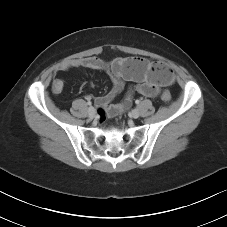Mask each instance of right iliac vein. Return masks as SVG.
<instances>
[{"mask_svg":"<svg viewBox=\"0 0 227 227\" xmlns=\"http://www.w3.org/2000/svg\"><path fill=\"white\" fill-rule=\"evenodd\" d=\"M88 114L91 118H93L95 115H96V111L95 109L92 107V108H89L88 109Z\"/></svg>","mask_w":227,"mask_h":227,"instance_id":"63e3f726","label":"right iliac vein"}]
</instances>
